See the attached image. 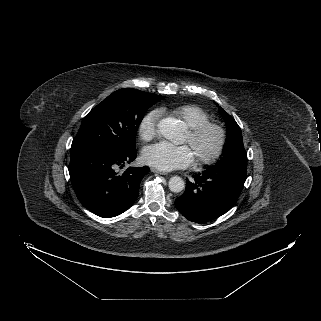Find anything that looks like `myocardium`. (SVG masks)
I'll return each mask as SVG.
<instances>
[{
    "label": "myocardium",
    "mask_w": 321,
    "mask_h": 321,
    "mask_svg": "<svg viewBox=\"0 0 321 321\" xmlns=\"http://www.w3.org/2000/svg\"><path fill=\"white\" fill-rule=\"evenodd\" d=\"M210 131L215 132L217 135L216 145L209 154L196 155L195 163L198 166L212 165L220 159L227 145V131L223 125L213 121L204 122L193 128H188L187 130L189 144L193 147H195L202 140V138Z\"/></svg>",
    "instance_id": "1"
}]
</instances>
